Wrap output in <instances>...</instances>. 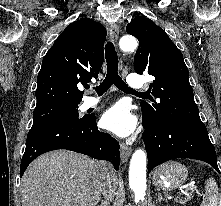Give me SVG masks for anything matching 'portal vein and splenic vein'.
<instances>
[{
    "instance_id": "1",
    "label": "portal vein and splenic vein",
    "mask_w": 221,
    "mask_h": 206,
    "mask_svg": "<svg viewBox=\"0 0 221 206\" xmlns=\"http://www.w3.org/2000/svg\"><path fill=\"white\" fill-rule=\"evenodd\" d=\"M189 190L198 192V190L196 189V186H195V185H190V186H186L184 189H182V190H181V193L185 194V193H187Z\"/></svg>"
}]
</instances>
